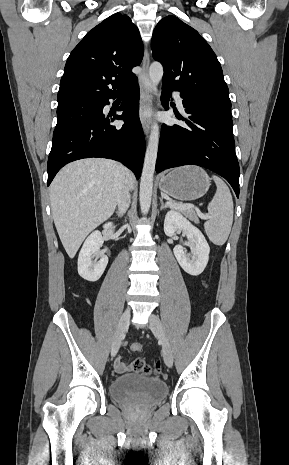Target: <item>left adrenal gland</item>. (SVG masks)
Masks as SVG:
<instances>
[{"label": "left adrenal gland", "instance_id": "left-adrenal-gland-1", "mask_svg": "<svg viewBox=\"0 0 289 465\" xmlns=\"http://www.w3.org/2000/svg\"><path fill=\"white\" fill-rule=\"evenodd\" d=\"M160 203H161L160 210H163V209L167 208V206L164 204V202H163V199H162V198H160Z\"/></svg>", "mask_w": 289, "mask_h": 465}]
</instances>
